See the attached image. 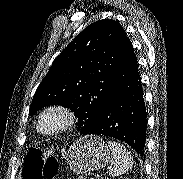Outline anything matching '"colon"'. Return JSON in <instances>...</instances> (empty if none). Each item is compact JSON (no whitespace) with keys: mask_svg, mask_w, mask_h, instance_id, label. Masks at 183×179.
I'll use <instances>...</instances> for the list:
<instances>
[{"mask_svg":"<svg viewBox=\"0 0 183 179\" xmlns=\"http://www.w3.org/2000/svg\"><path fill=\"white\" fill-rule=\"evenodd\" d=\"M57 171V160L49 151L31 149L24 160L23 179H52Z\"/></svg>","mask_w":183,"mask_h":179,"instance_id":"1","label":"colon"}]
</instances>
